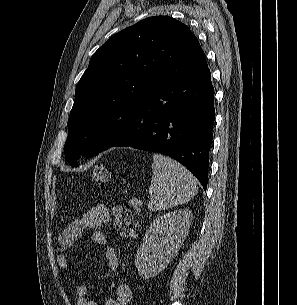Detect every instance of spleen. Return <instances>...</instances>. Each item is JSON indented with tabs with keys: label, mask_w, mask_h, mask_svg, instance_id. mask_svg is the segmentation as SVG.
<instances>
[{
	"label": "spleen",
	"mask_w": 297,
	"mask_h": 305,
	"mask_svg": "<svg viewBox=\"0 0 297 305\" xmlns=\"http://www.w3.org/2000/svg\"><path fill=\"white\" fill-rule=\"evenodd\" d=\"M152 180L149 187L151 199L148 208L161 211L182 205L197 193L194 176L181 164L161 154L153 155Z\"/></svg>",
	"instance_id": "1"
}]
</instances>
